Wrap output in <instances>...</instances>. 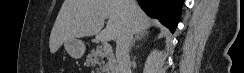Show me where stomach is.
<instances>
[{
    "label": "stomach",
    "mask_w": 244,
    "mask_h": 73,
    "mask_svg": "<svg viewBox=\"0 0 244 73\" xmlns=\"http://www.w3.org/2000/svg\"><path fill=\"white\" fill-rule=\"evenodd\" d=\"M67 53L76 59L83 56L85 52V44L79 39H72L64 42Z\"/></svg>",
    "instance_id": "0dacf381"
}]
</instances>
